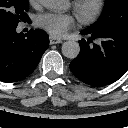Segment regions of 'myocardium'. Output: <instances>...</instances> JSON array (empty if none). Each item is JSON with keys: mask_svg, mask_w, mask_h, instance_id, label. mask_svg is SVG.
Masks as SVG:
<instances>
[{"mask_svg": "<svg viewBox=\"0 0 128 128\" xmlns=\"http://www.w3.org/2000/svg\"><path fill=\"white\" fill-rule=\"evenodd\" d=\"M107 0H74L73 9L83 23L97 20L106 7Z\"/></svg>", "mask_w": 128, "mask_h": 128, "instance_id": "myocardium-1", "label": "myocardium"}]
</instances>
